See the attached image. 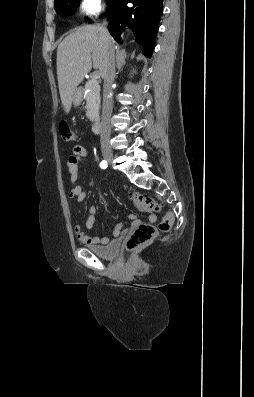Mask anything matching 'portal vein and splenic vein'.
Returning a JSON list of instances; mask_svg holds the SVG:
<instances>
[{
    "instance_id": "18ae733b",
    "label": "portal vein and splenic vein",
    "mask_w": 254,
    "mask_h": 397,
    "mask_svg": "<svg viewBox=\"0 0 254 397\" xmlns=\"http://www.w3.org/2000/svg\"><path fill=\"white\" fill-rule=\"evenodd\" d=\"M98 78H100V73L96 71V72L93 73L92 80H97Z\"/></svg>"
}]
</instances>
